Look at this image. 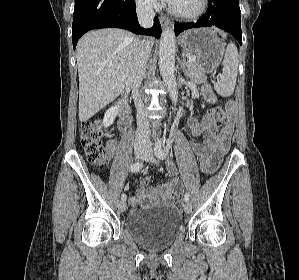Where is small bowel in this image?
I'll return each instance as SVG.
<instances>
[{
	"mask_svg": "<svg viewBox=\"0 0 299 280\" xmlns=\"http://www.w3.org/2000/svg\"><path fill=\"white\" fill-rule=\"evenodd\" d=\"M185 127L191 136H204L202 141L193 142L191 149L200 159L206 158L209 161L207 172H213L230 148L234 128L233 121L229 120L219 131L212 121L205 120L200 122L193 118L187 121ZM116 146V140L110 139L107 141L106 153L108 157L113 155ZM168 171L170 178L161 186L148 188L151 182L149 176L141 180V187L137 191V195L129 199L132 211L139 207L171 206L174 203L183 192V184L177 176V170L173 162L168 163Z\"/></svg>",
	"mask_w": 299,
	"mask_h": 280,
	"instance_id": "small-bowel-1",
	"label": "small bowel"
}]
</instances>
